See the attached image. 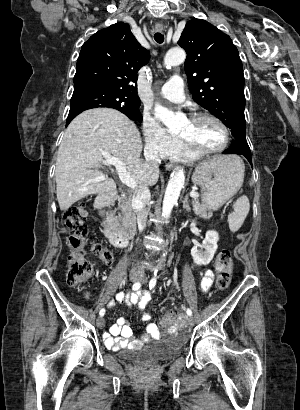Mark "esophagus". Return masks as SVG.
I'll return each instance as SVG.
<instances>
[{"mask_svg":"<svg viewBox=\"0 0 300 410\" xmlns=\"http://www.w3.org/2000/svg\"><path fill=\"white\" fill-rule=\"evenodd\" d=\"M163 28H164L163 25H157V26L155 27V29H156L157 31H162ZM174 167H175V164H174V163H167V164H166V169H167V170H172Z\"/></svg>","mask_w":300,"mask_h":410,"instance_id":"esophagus-1","label":"esophagus"}]
</instances>
